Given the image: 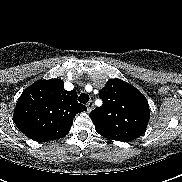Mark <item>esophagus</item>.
Segmentation results:
<instances>
[{"instance_id":"1","label":"esophagus","mask_w":182,"mask_h":182,"mask_svg":"<svg viewBox=\"0 0 182 182\" xmlns=\"http://www.w3.org/2000/svg\"><path fill=\"white\" fill-rule=\"evenodd\" d=\"M86 106H87V111L91 112L93 110V108H94V102L89 101Z\"/></svg>"}]
</instances>
